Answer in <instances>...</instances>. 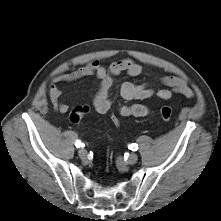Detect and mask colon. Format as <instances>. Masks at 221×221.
<instances>
[{
    "instance_id": "obj_1",
    "label": "colon",
    "mask_w": 221,
    "mask_h": 221,
    "mask_svg": "<svg viewBox=\"0 0 221 221\" xmlns=\"http://www.w3.org/2000/svg\"><path fill=\"white\" fill-rule=\"evenodd\" d=\"M89 111H90V108L87 105L76 106L71 111L69 118L72 122H75V123L79 122L86 114L89 113ZM159 113H160V117L164 121H170L172 119L173 111L168 106L161 107ZM109 119H110V122L113 123L114 127L120 128L122 126V122L121 120H119L120 118L118 114H115V113L111 114Z\"/></svg>"
}]
</instances>
